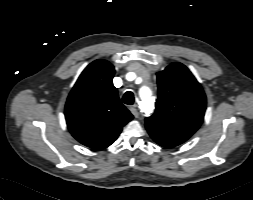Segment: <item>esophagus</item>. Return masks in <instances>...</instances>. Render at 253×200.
<instances>
[{
  "label": "esophagus",
  "instance_id": "esophagus-1",
  "mask_svg": "<svg viewBox=\"0 0 253 200\" xmlns=\"http://www.w3.org/2000/svg\"><path fill=\"white\" fill-rule=\"evenodd\" d=\"M130 111H131V113L134 115L135 118H138V117L140 116L139 111L137 110L136 107H134V106L131 107V108H130Z\"/></svg>",
  "mask_w": 253,
  "mask_h": 200
}]
</instances>
